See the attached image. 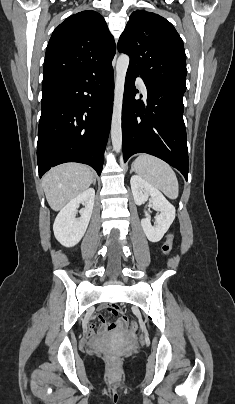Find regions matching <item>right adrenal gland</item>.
I'll use <instances>...</instances> for the list:
<instances>
[{
	"label": "right adrenal gland",
	"mask_w": 235,
	"mask_h": 404,
	"mask_svg": "<svg viewBox=\"0 0 235 404\" xmlns=\"http://www.w3.org/2000/svg\"><path fill=\"white\" fill-rule=\"evenodd\" d=\"M96 184V178L94 177L93 178V185H95Z\"/></svg>",
	"instance_id": "2a0ac1e0"
}]
</instances>
